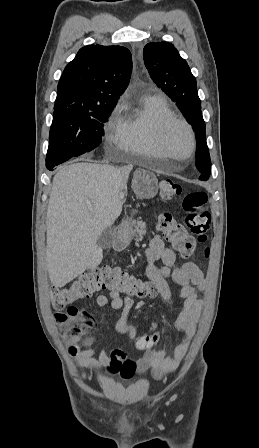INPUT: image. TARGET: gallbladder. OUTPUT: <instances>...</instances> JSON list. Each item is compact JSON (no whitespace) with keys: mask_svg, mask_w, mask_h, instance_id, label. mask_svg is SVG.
I'll return each instance as SVG.
<instances>
[{"mask_svg":"<svg viewBox=\"0 0 259 448\" xmlns=\"http://www.w3.org/2000/svg\"><path fill=\"white\" fill-rule=\"evenodd\" d=\"M112 232V228H110V230H104V232H102L101 236H99L97 240L99 248H103V250H109V248H112V244L114 242Z\"/></svg>","mask_w":259,"mask_h":448,"instance_id":"1","label":"gallbladder"}]
</instances>
